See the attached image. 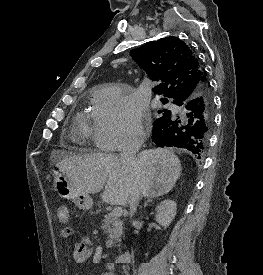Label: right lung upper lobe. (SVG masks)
Returning a JSON list of instances; mask_svg holds the SVG:
<instances>
[{"mask_svg":"<svg viewBox=\"0 0 263 275\" xmlns=\"http://www.w3.org/2000/svg\"><path fill=\"white\" fill-rule=\"evenodd\" d=\"M131 55L150 78L159 81L153 91L173 98L190 97L197 93L207 79L198 59L184 41L170 36L149 42Z\"/></svg>","mask_w":263,"mask_h":275,"instance_id":"1","label":"right lung upper lobe"}]
</instances>
